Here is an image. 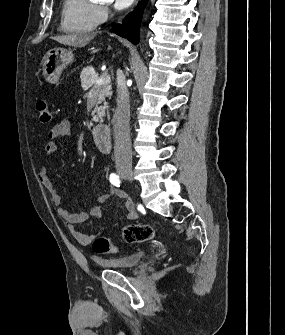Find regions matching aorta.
<instances>
[{
    "instance_id": "1",
    "label": "aorta",
    "mask_w": 285,
    "mask_h": 335,
    "mask_svg": "<svg viewBox=\"0 0 285 335\" xmlns=\"http://www.w3.org/2000/svg\"><path fill=\"white\" fill-rule=\"evenodd\" d=\"M90 2H97V0H90Z\"/></svg>"
}]
</instances>
